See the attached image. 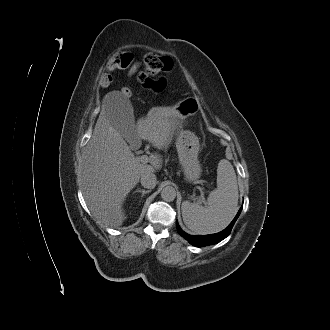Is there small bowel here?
<instances>
[{
  "instance_id": "small-bowel-1",
  "label": "small bowel",
  "mask_w": 330,
  "mask_h": 330,
  "mask_svg": "<svg viewBox=\"0 0 330 330\" xmlns=\"http://www.w3.org/2000/svg\"><path fill=\"white\" fill-rule=\"evenodd\" d=\"M140 67H141V63H140V62H135V63H133V64L130 65L129 68L127 69V75H128V76H133V75H135V74L138 72V70L140 69ZM103 83H104L105 85H108V84H109V82H107V81H105V80H103Z\"/></svg>"
}]
</instances>
